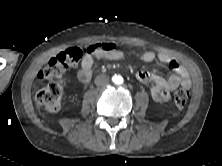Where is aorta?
Here are the masks:
<instances>
[{"instance_id": "obj_1", "label": "aorta", "mask_w": 222, "mask_h": 166, "mask_svg": "<svg viewBox=\"0 0 222 166\" xmlns=\"http://www.w3.org/2000/svg\"><path fill=\"white\" fill-rule=\"evenodd\" d=\"M113 82L115 83V84H122L123 83V78H122V76H120V75H115L114 77H113Z\"/></svg>"}]
</instances>
